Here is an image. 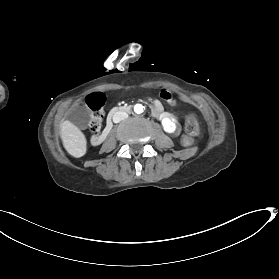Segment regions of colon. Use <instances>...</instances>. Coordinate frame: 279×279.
<instances>
[{
	"mask_svg": "<svg viewBox=\"0 0 279 279\" xmlns=\"http://www.w3.org/2000/svg\"><path fill=\"white\" fill-rule=\"evenodd\" d=\"M103 113L101 110H98L94 113L91 122H90V130L92 132H97L102 124ZM186 131L189 136H196L199 134L200 126L197 118L194 115H189L186 119ZM188 142L191 141L190 138L187 139Z\"/></svg>",
	"mask_w": 279,
	"mask_h": 279,
	"instance_id": "1",
	"label": "colon"
}]
</instances>
